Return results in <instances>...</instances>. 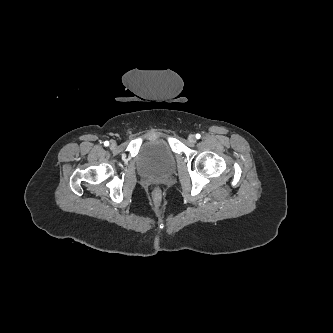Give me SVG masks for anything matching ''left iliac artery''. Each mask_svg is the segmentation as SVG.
Returning <instances> with one entry per match:
<instances>
[{
    "label": "left iliac artery",
    "instance_id": "obj_1",
    "mask_svg": "<svg viewBox=\"0 0 333 333\" xmlns=\"http://www.w3.org/2000/svg\"><path fill=\"white\" fill-rule=\"evenodd\" d=\"M201 137L200 134H196V138L199 139Z\"/></svg>",
    "mask_w": 333,
    "mask_h": 333
}]
</instances>
